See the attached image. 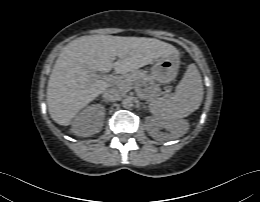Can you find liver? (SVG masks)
Returning <instances> with one entry per match:
<instances>
[{
    "instance_id": "liver-1",
    "label": "liver",
    "mask_w": 260,
    "mask_h": 202,
    "mask_svg": "<svg viewBox=\"0 0 260 202\" xmlns=\"http://www.w3.org/2000/svg\"><path fill=\"white\" fill-rule=\"evenodd\" d=\"M175 52L174 46L155 38L89 35L71 41L59 54L48 81L51 118L69 125L79 110L112 85L92 77L93 71L114 67L116 73L126 74Z\"/></svg>"
}]
</instances>
